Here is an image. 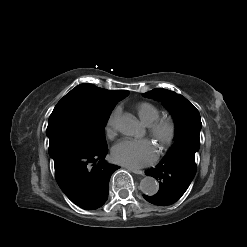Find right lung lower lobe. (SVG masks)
Here are the masks:
<instances>
[{
	"label": "right lung lower lobe",
	"instance_id": "obj_1",
	"mask_svg": "<svg viewBox=\"0 0 247 247\" xmlns=\"http://www.w3.org/2000/svg\"><path fill=\"white\" fill-rule=\"evenodd\" d=\"M108 148L91 149L65 138L49 139L59 187L85 210L102 206L108 198L109 180L119 166L104 163Z\"/></svg>",
	"mask_w": 247,
	"mask_h": 247
}]
</instances>
